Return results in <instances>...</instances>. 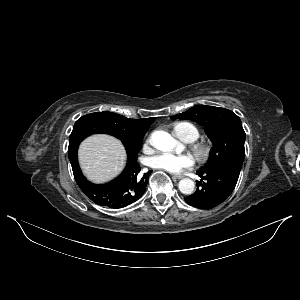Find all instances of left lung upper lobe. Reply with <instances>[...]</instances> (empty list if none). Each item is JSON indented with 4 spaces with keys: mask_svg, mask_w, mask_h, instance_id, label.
I'll return each instance as SVG.
<instances>
[{
    "mask_svg": "<svg viewBox=\"0 0 300 300\" xmlns=\"http://www.w3.org/2000/svg\"><path fill=\"white\" fill-rule=\"evenodd\" d=\"M172 118L193 120L205 126L213 143L207 164L200 170L206 172L223 165L241 169L245 156V132L240 118L232 111L214 106L199 105Z\"/></svg>",
    "mask_w": 300,
    "mask_h": 300,
    "instance_id": "left-lung-upper-lobe-1",
    "label": "left lung upper lobe"
}]
</instances>
